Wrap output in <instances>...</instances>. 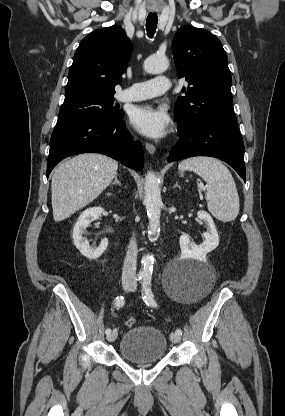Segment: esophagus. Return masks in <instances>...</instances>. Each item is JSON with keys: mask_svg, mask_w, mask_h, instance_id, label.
Listing matches in <instances>:
<instances>
[{"mask_svg": "<svg viewBox=\"0 0 285 416\" xmlns=\"http://www.w3.org/2000/svg\"><path fill=\"white\" fill-rule=\"evenodd\" d=\"M146 149L148 153L154 154L156 151V147L152 143H145Z\"/></svg>", "mask_w": 285, "mask_h": 416, "instance_id": "esophagus-1", "label": "esophagus"}]
</instances>
